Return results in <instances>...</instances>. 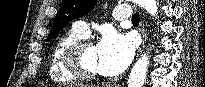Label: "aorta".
I'll return each mask as SVG.
<instances>
[{"mask_svg":"<svg viewBox=\"0 0 205 87\" xmlns=\"http://www.w3.org/2000/svg\"><path fill=\"white\" fill-rule=\"evenodd\" d=\"M151 16L157 17L158 7L156 0H135ZM149 63L148 54H143L134 64L128 79L127 87H142L146 78Z\"/></svg>","mask_w":205,"mask_h":87,"instance_id":"obj_1","label":"aorta"}]
</instances>
